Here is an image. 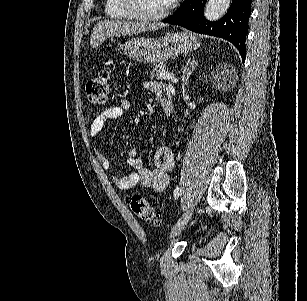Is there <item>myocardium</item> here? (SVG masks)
<instances>
[{
	"label": "myocardium",
	"instance_id": "1",
	"mask_svg": "<svg viewBox=\"0 0 307 301\" xmlns=\"http://www.w3.org/2000/svg\"><path fill=\"white\" fill-rule=\"evenodd\" d=\"M124 1L120 0L118 2V5L122 8L120 11V16L122 17V15L127 12V15L131 17V20H134V22H161V18L167 17V14L174 2L172 0H168V3L163 5L160 11H134V5L132 3H135L136 0Z\"/></svg>",
	"mask_w": 307,
	"mask_h": 301
}]
</instances>
